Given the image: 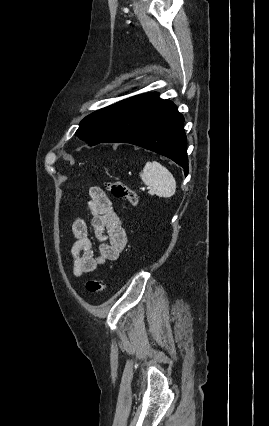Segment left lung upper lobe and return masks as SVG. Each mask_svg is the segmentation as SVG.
Masks as SVG:
<instances>
[{"mask_svg": "<svg viewBox=\"0 0 269 426\" xmlns=\"http://www.w3.org/2000/svg\"><path fill=\"white\" fill-rule=\"evenodd\" d=\"M131 98L122 100L86 116L81 121L76 135L89 143L90 146L101 143L114 128Z\"/></svg>", "mask_w": 269, "mask_h": 426, "instance_id": "1", "label": "left lung upper lobe"}]
</instances>
